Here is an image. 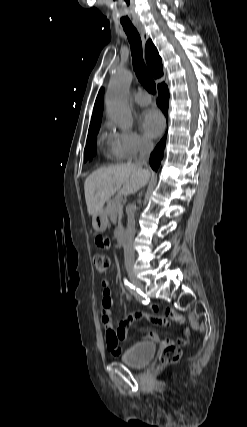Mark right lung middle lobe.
Returning a JSON list of instances; mask_svg holds the SVG:
<instances>
[{
	"instance_id": "right-lung-middle-lobe-1",
	"label": "right lung middle lobe",
	"mask_w": 247,
	"mask_h": 427,
	"mask_svg": "<svg viewBox=\"0 0 247 427\" xmlns=\"http://www.w3.org/2000/svg\"><path fill=\"white\" fill-rule=\"evenodd\" d=\"M99 128H100V125L89 128L87 144L84 149V162H86L96 154V149H97L96 136L99 131Z\"/></svg>"
}]
</instances>
